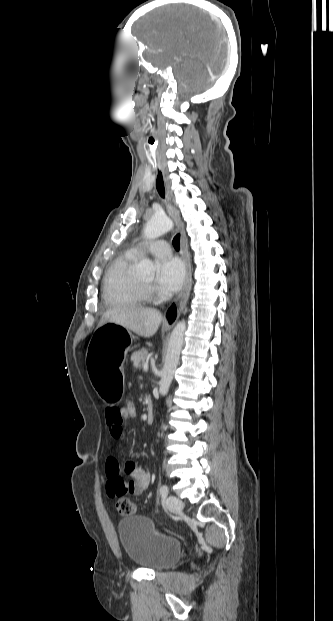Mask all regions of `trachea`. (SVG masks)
I'll use <instances>...</instances> for the list:
<instances>
[{"label":"trachea","instance_id":"3493384b","mask_svg":"<svg viewBox=\"0 0 333 621\" xmlns=\"http://www.w3.org/2000/svg\"><path fill=\"white\" fill-rule=\"evenodd\" d=\"M173 246L176 250H179L180 248V234H177L174 238H173Z\"/></svg>","mask_w":333,"mask_h":621}]
</instances>
